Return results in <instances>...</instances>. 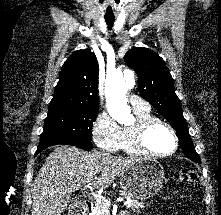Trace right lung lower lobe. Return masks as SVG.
I'll use <instances>...</instances> for the list:
<instances>
[{"label": "right lung lower lobe", "mask_w": 221, "mask_h": 215, "mask_svg": "<svg viewBox=\"0 0 221 215\" xmlns=\"http://www.w3.org/2000/svg\"><path fill=\"white\" fill-rule=\"evenodd\" d=\"M57 144L73 145V146H77V147L82 148V149L87 150V151L92 149V144H91V141H90L89 138H80V139H75V140H70V141L40 144L37 147V151L35 152V155L39 154L45 148L53 146V145H57Z\"/></svg>", "instance_id": "1"}]
</instances>
